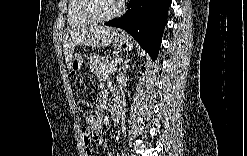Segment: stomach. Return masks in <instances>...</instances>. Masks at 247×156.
Listing matches in <instances>:
<instances>
[{
    "mask_svg": "<svg viewBox=\"0 0 247 156\" xmlns=\"http://www.w3.org/2000/svg\"><path fill=\"white\" fill-rule=\"evenodd\" d=\"M115 40L126 49H130L132 47L129 37L125 34L117 35ZM77 60H79V62L83 61L82 57L79 56L77 57ZM89 63H90V68L95 69L101 63V59L99 56L93 55L92 57H90Z\"/></svg>",
    "mask_w": 247,
    "mask_h": 156,
    "instance_id": "1",
    "label": "stomach"
}]
</instances>
